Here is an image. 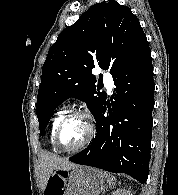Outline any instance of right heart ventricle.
I'll list each match as a JSON object with an SVG mask.
<instances>
[{
  "label": "right heart ventricle",
  "instance_id": "right-heart-ventricle-1",
  "mask_svg": "<svg viewBox=\"0 0 178 195\" xmlns=\"http://www.w3.org/2000/svg\"><path fill=\"white\" fill-rule=\"evenodd\" d=\"M65 116V110L61 109L59 111L56 112V114L54 115L51 125H50V131H49V141H50V145L51 148L55 151V152H60L59 149L56 148V146L53 143V135L55 132V129L58 125V123L60 122V120Z\"/></svg>",
  "mask_w": 178,
  "mask_h": 195
}]
</instances>
